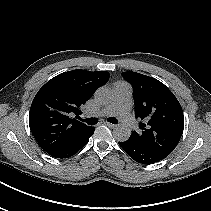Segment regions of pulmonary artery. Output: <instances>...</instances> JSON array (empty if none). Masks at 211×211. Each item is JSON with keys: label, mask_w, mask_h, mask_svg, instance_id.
<instances>
[{"label": "pulmonary artery", "mask_w": 211, "mask_h": 211, "mask_svg": "<svg viewBox=\"0 0 211 211\" xmlns=\"http://www.w3.org/2000/svg\"><path fill=\"white\" fill-rule=\"evenodd\" d=\"M113 101L97 112V116H117L128 128L136 127V121L131 115L132 88L126 82H117L114 87Z\"/></svg>", "instance_id": "obj_1"}]
</instances>
